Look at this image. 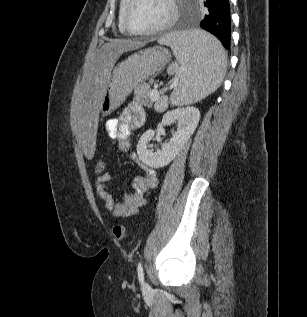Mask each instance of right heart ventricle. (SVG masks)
Segmentation results:
<instances>
[{
	"label": "right heart ventricle",
	"mask_w": 307,
	"mask_h": 317,
	"mask_svg": "<svg viewBox=\"0 0 307 317\" xmlns=\"http://www.w3.org/2000/svg\"><path fill=\"white\" fill-rule=\"evenodd\" d=\"M126 3H127V0H120L119 12H118V30L122 34L128 33L125 30L124 25H123V21H122L123 10H124Z\"/></svg>",
	"instance_id": "e07e8e85"
}]
</instances>
